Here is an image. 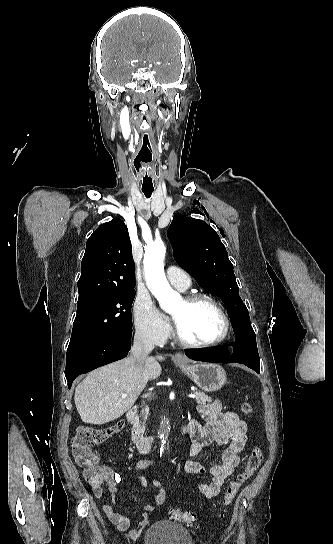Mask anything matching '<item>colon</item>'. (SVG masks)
Instances as JSON below:
<instances>
[{
    "mask_svg": "<svg viewBox=\"0 0 333 544\" xmlns=\"http://www.w3.org/2000/svg\"><path fill=\"white\" fill-rule=\"evenodd\" d=\"M240 409L246 415H251L254 411L252 404L249 402H243ZM122 428L123 422L118 421L106 427L82 426L77 429L72 440V452L76 463L84 469L85 479L91 486L100 485L105 475L104 468L99 464L98 456L93 452V447L108 437L119 433ZM262 460V449L258 446L253 447L236 479L229 484L224 493L223 503L225 506L231 505L240 488L254 475ZM169 517L173 521L188 526L195 525L194 516L181 509L171 510Z\"/></svg>",
    "mask_w": 333,
    "mask_h": 544,
    "instance_id": "obj_1",
    "label": "colon"
}]
</instances>
